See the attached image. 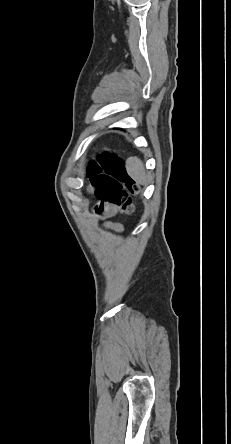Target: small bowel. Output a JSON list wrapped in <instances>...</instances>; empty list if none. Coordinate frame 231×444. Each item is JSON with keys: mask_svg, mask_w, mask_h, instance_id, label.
Instances as JSON below:
<instances>
[{"mask_svg": "<svg viewBox=\"0 0 231 444\" xmlns=\"http://www.w3.org/2000/svg\"><path fill=\"white\" fill-rule=\"evenodd\" d=\"M118 206L114 204H106L104 205V212L107 216H113L117 213Z\"/></svg>", "mask_w": 231, "mask_h": 444, "instance_id": "obj_1", "label": "small bowel"}]
</instances>
